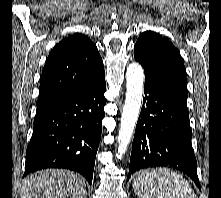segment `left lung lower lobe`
<instances>
[{
  "instance_id": "1",
  "label": "left lung lower lobe",
  "mask_w": 221,
  "mask_h": 198,
  "mask_svg": "<svg viewBox=\"0 0 221 198\" xmlns=\"http://www.w3.org/2000/svg\"><path fill=\"white\" fill-rule=\"evenodd\" d=\"M144 93L132 144L128 179L143 168L168 166L189 175L200 189L187 105L147 76Z\"/></svg>"
}]
</instances>
